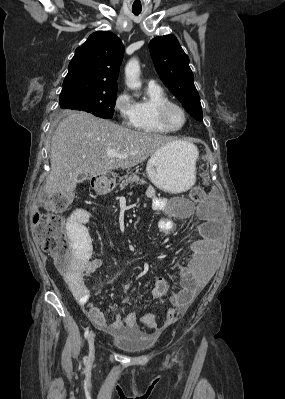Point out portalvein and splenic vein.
Wrapping results in <instances>:
<instances>
[{"label":"portal vein and splenic vein","mask_w":285,"mask_h":399,"mask_svg":"<svg viewBox=\"0 0 285 399\" xmlns=\"http://www.w3.org/2000/svg\"><path fill=\"white\" fill-rule=\"evenodd\" d=\"M107 156H109V157H117V158H125L126 157L124 155H121L117 151H113V150L108 151L107 152Z\"/></svg>","instance_id":"portal-vein-and-splenic-vein-1"}]
</instances>
